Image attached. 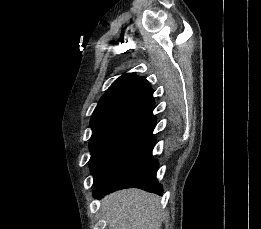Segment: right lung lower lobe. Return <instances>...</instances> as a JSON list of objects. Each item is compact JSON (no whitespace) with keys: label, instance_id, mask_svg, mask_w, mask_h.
<instances>
[{"label":"right lung lower lobe","instance_id":"1","mask_svg":"<svg viewBox=\"0 0 261 229\" xmlns=\"http://www.w3.org/2000/svg\"><path fill=\"white\" fill-rule=\"evenodd\" d=\"M154 144L155 138L152 136L137 150L116 161L94 184L93 196L101 198L124 188L162 193L163 188L156 178L158 162L152 156Z\"/></svg>","mask_w":261,"mask_h":229}]
</instances>
